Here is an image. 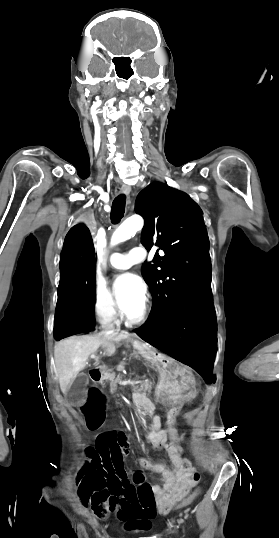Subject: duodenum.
<instances>
[{"label":"duodenum","mask_w":279,"mask_h":538,"mask_svg":"<svg viewBox=\"0 0 279 538\" xmlns=\"http://www.w3.org/2000/svg\"><path fill=\"white\" fill-rule=\"evenodd\" d=\"M104 369L101 368L98 364L90 366L87 376L89 380H92L94 385H101L103 383ZM134 402H131V405L135 407L139 406V409L143 411L145 415H152L154 410H156V405L151 400L149 395H134L132 397Z\"/></svg>","instance_id":"duodenum-1"}]
</instances>
